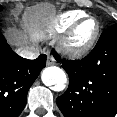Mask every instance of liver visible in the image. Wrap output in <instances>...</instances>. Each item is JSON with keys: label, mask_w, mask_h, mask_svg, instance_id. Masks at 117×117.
<instances>
[{"label": "liver", "mask_w": 117, "mask_h": 117, "mask_svg": "<svg viewBox=\"0 0 117 117\" xmlns=\"http://www.w3.org/2000/svg\"><path fill=\"white\" fill-rule=\"evenodd\" d=\"M47 12L48 11L45 7L37 6L29 10L27 18L31 21L43 19L46 16ZM10 39L11 42L15 45H21L23 43L22 36L17 32H11Z\"/></svg>", "instance_id": "obj_1"}]
</instances>
